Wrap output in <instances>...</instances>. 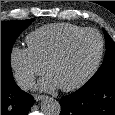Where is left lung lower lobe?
Masks as SVG:
<instances>
[{"mask_svg": "<svg viewBox=\"0 0 115 115\" xmlns=\"http://www.w3.org/2000/svg\"><path fill=\"white\" fill-rule=\"evenodd\" d=\"M59 115H115V78L82 86L60 100Z\"/></svg>", "mask_w": 115, "mask_h": 115, "instance_id": "obj_1", "label": "left lung lower lobe"}]
</instances>
